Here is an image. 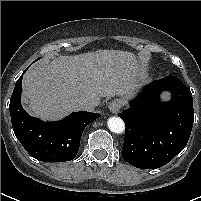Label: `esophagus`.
<instances>
[{
    "mask_svg": "<svg viewBox=\"0 0 201 201\" xmlns=\"http://www.w3.org/2000/svg\"><path fill=\"white\" fill-rule=\"evenodd\" d=\"M108 107L112 114H117L122 107V102L120 100H113L109 103Z\"/></svg>",
    "mask_w": 201,
    "mask_h": 201,
    "instance_id": "esophagus-1",
    "label": "esophagus"
}]
</instances>
